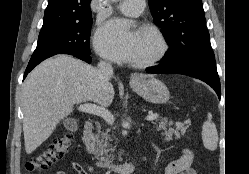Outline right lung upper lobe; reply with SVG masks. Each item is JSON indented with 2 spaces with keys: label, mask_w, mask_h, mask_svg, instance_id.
Returning a JSON list of instances; mask_svg holds the SVG:
<instances>
[{
  "label": "right lung upper lobe",
  "mask_w": 249,
  "mask_h": 174,
  "mask_svg": "<svg viewBox=\"0 0 249 174\" xmlns=\"http://www.w3.org/2000/svg\"><path fill=\"white\" fill-rule=\"evenodd\" d=\"M91 0H48L42 28L91 18Z\"/></svg>",
  "instance_id": "right-lung-upper-lobe-1"
}]
</instances>
